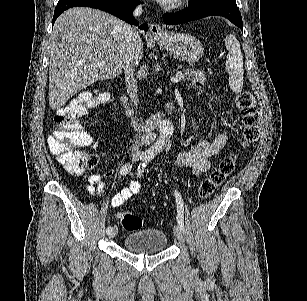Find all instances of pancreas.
Returning a JSON list of instances; mask_svg holds the SVG:
<instances>
[{"label": "pancreas", "instance_id": "pancreas-1", "mask_svg": "<svg viewBox=\"0 0 307 301\" xmlns=\"http://www.w3.org/2000/svg\"><path fill=\"white\" fill-rule=\"evenodd\" d=\"M184 74H182L181 80H192V82H200V84H205L206 72L204 70H192V68H186V70H182Z\"/></svg>", "mask_w": 307, "mask_h": 301}]
</instances>
